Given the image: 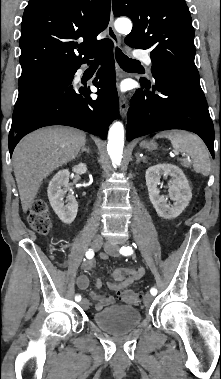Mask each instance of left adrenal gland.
<instances>
[{
  "instance_id": "left-adrenal-gland-1",
  "label": "left adrenal gland",
  "mask_w": 221,
  "mask_h": 379,
  "mask_svg": "<svg viewBox=\"0 0 221 379\" xmlns=\"http://www.w3.org/2000/svg\"><path fill=\"white\" fill-rule=\"evenodd\" d=\"M141 160H142L143 162H145V159H142L140 156H137V161H136V163L139 164Z\"/></svg>"
}]
</instances>
